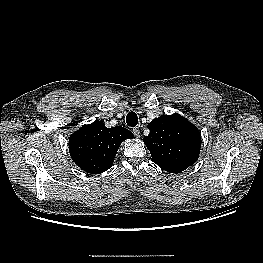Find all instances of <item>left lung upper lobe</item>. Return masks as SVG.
<instances>
[{
    "label": "left lung upper lobe",
    "mask_w": 263,
    "mask_h": 263,
    "mask_svg": "<svg viewBox=\"0 0 263 263\" xmlns=\"http://www.w3.org/2000/svg\"><path fill=\"white\" fill-rule=\"evenodd\" d=\"M148 128L150 134L143 141L159 167L170 173H179L197 161L201 137L190 122L165 115L155 118Z\"/></svg>",
    "instance_id": "5c2ea615"
}]
</instances>
